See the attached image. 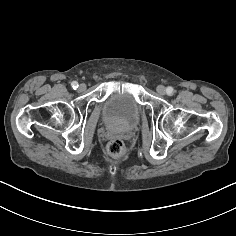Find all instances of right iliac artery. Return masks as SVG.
<instances>
[{
  "label": "right iliac artery",
  "mask_w": 236,
  "mask_h": 236,
  "mask_svg": "<svg viewBox=\"0 0 236 236\" xmlns=\"http://www.w3.org/2000/svg\"><path fill=\"white\" fill-rule=\"evenodd\" d=\"M71 86H72L73 89H77L78 88V83L76 81H73L71 83Z\"/></svg>",
  "instance_id": "1"
}]
</instances>
